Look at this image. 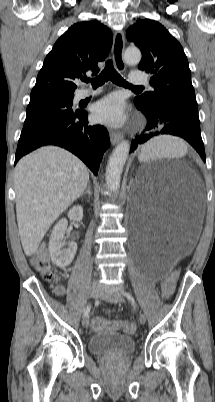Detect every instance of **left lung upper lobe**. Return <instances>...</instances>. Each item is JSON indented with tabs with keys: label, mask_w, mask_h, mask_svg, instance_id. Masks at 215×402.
I'll use <instances>...</instances> for the list:
<instances>
[{
	"label": "left lung upper lobe",
	"mask_w": 215,
	"mask_h": 402,
	"mask_svg": "<svg viewBox=\"0 0 215 402\" xmlns=\"http://www.w3.org/2000/svg\"><path fill=\"white\" fill-rule=\"evenodd\" d=\"M126 36L140 48L138 68L151 74L150 85L155 89L135 100L168 103L198 114L191 71L180 43L159 22L150 19L137 20Z\"/></svg>",
	"instance_id": "left-lung-upper-lobe-1"
}]
</instances>
